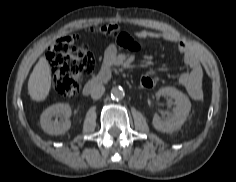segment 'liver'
<instances>
[{"mask_svg":"<svg viewBox=\"0 0 236 182\" xmlns=\"http://www.w3.org/2000/svg\"><path fill=\"white\" fill-rule=\"evenodd\" d=\"M51 82L50 65L45 57H40L28 80L31 99L37 102L46 100L51 89Z\"/></svg>","mask_w":236,"mask_h":182,"instance_id":"6515ba94","label":"liver"}]
</instances>
